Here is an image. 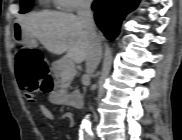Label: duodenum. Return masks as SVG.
Masks as SVG:
<instances>
[{"label": "duodenum", "instance_id": "1", "mask_svg": "<svg viewBox=\"0 0 182 140\" xmlns=\"http://www.w3.org/2000/svg\"><path fill=\"white\" fill-rule=\"evenodd\" d=\"M66 103L74 108H79L83 104V99L81 95L74 94L66 100Z\"/></svg>", "mask_w": 182, "mask_h": 140}]
</instances>
